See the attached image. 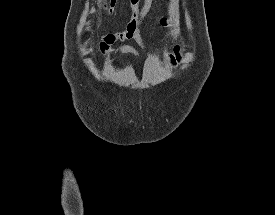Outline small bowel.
Segmentation results:
<instances>
[{
    "label": "small bowel",
    "instance_id": "small-bowel-1",
    "mask_svg": "<svg viewBox=\"0 0 275 215\" xmlns=\"http://www.w3.org/2000/svg\"><path fill=\"white\" fill-rule=\"evenodd\" d=\"M139 0H135L134 3H137ZM104 13L105 15H110L112 13V9L104 6ZM145 12L142 13L140 18L134 19L131 21L126 30L119 34H113L109 33L107 35H104L101 37V43L100 47L104 54L109 56H114L116 54H125V55H131L134 57H138L140 55V52L138 49L131 45H123L119 48H112V45L117 40H125V39H134L141 50L143 51H150L151 47L149 44L145 41L144 37L141 34V27L144 21ZM163 25H167V22L163 19L161 21ZM168 37L166 36L165 39Z\"/></svg>",
    "mask_w": 275,
    "mask_h": 215
}]
</instances>
